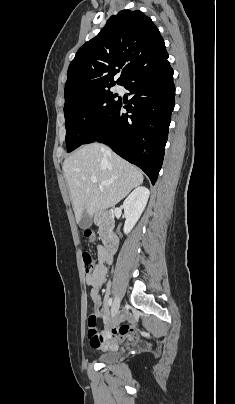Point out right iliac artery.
Wrapping results in <instances>:
<instances>
[{
	"label": "right iliac artery",
	"instance_id": "1",
	"mask_svg": "<svg viewBox=\"0 0 235 404\" xmlns=\"http://www.w3.org/2000/svg\"><path fill=\"white\" fill-rule=\"evenodd\" d=\"M112 305V298H109V300H108V306L110 307ZM111 311H112V309H111ZM112 315H113V313H112Z\"/></svg>",
	"mask_w": 235,
	"mask_h": 404
}]
</instances>
